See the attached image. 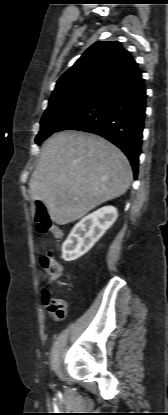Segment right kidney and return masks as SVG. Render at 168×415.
<instances>
[{"mask_svg": "<svg viewBox=\"0 0 168 415\" xmlns=\"http://www.w3.org/2000/svg\"><path fill=\"white\" fill-rule=\"evenodd\" d=\"M118 217L113 206L102 207L78 222L62 245V257L73 261L87 253Z\"/></svg>", "mask_w": 168, "mask_h": 415, "instance_id": "ca27d5eb", "label": "right kidney"}]
</instances>
